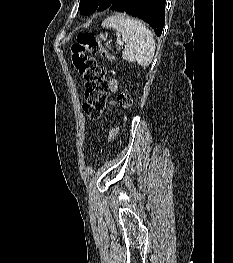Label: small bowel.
Returning <instances> with one entry per match:
<instances>
[{"label": "small bowel", "instance_id": "c3829d8e", "mask_svg": "<svg viewBox=\"0 0 233 263\" xmlns=\"http://www.w3.org/2000/svg\"><path fill=\"white\" fill-rule=\"evenodd\" d=\"M108 86H109V89L112 91V92H116L117 89H118V83L116 80L114 79H110L108 81ZM119 133V129L117 127H113L109 130L108 132V138L109 140H113L116 138V136L118 135Z\"/></svg>", "mask_w": 233, "mask_h": 263}]
</instances>
